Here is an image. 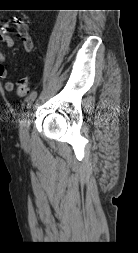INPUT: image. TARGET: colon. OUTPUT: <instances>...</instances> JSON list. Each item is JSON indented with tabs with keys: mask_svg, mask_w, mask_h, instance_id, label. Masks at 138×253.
I'll return each instance as SVG.
<instances>
[{
	"mask_svg": "<svg viewBox=\"0 0 138 253\" xmlns=\"http://www.w3.org/2000/svg\"><path fill=\"white\" fill-rule=\"evenodd\" d=\"M31 90V81L29 77L24 76L20 79L18 82V86L16 89L17 95L20 97H23L27 95Z\"/></svg>",
	"mask_w": 138,
	"mask_h": 253,
	"instance_id": "obj_1",
	"label": "colon"
}]
</instances>
